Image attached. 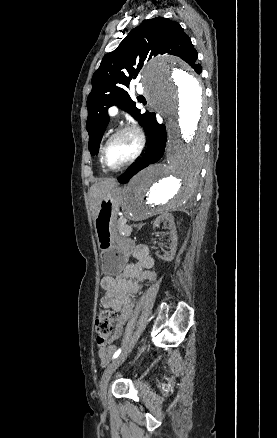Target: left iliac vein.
Wrapping results in <instances>:
<instances>
[{"label": "left iliac vein", "instance_id": "4c4485c4", "mask_svg": "<svg viewBox=\"0 0 277 438\" xmlns=\"http://www.w3.org/2000/svg\"><path fill=\"white\" fill-rule=\"evenodd\" d=\"M129 352H130V350L127 349L124 353L119 355L104 371V373L101 377L100 383H99V386H100L99 396H100L101 401L106 402L107 388H108L109 380H110L112 374L116 371V369L126 360Z\"/></svg>", "mask_w": 277, "mask_h": 438}]
</instances>
